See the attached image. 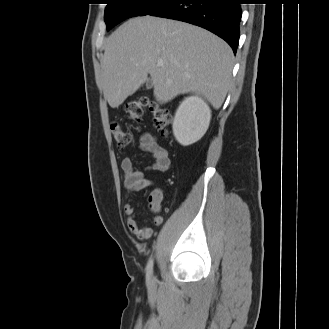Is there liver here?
Listing matches in <instances>:
<instances>
[{
  "label": "liver",
  "mask_w": 329,
  "mask_h": 329,
  "mask_svg": "<svg viewBox=\"0 0 329 329\" xmlns=\"http://www.w3.org/2000/svg\"><path fill=\"white\" fill-rule=\"evenodd\" d=\"M233 64L232 49L213 33L147 15L128 20L107 38L101 83L112 108L120 106L150 74L157 101L166 103L179 94L195 92L219 109Z\"/></svg>",
  "instance_id": "obj_1"
}]
</instances>
